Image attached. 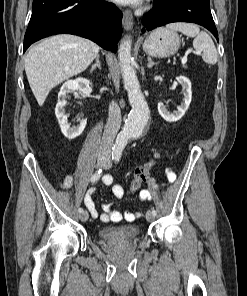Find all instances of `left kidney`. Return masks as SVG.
Returning a JSON list of instances; mask_svg holds the SVG:
<instances>
[{"mask_svg": "<svg viewBox=\"0 0 247 296\" xmlns=\"http://www.w3.org/2000/svg\"><path fill=\"white\" fill-rule=\"evenodd\" d=\"M177 81L181 84L184 95L183 103L181 106L177 107V111L171 113L162 102L158 103L159 114L164 120L168 122H176L180 120L184 116L191 103L192 91L190 80L184 76H180L177 78Z\"/></svg>", "mask_w": 247, "mask_h": 296, "instance_id": "1", "label": "left kidney"}]
</instances>
